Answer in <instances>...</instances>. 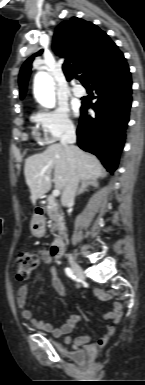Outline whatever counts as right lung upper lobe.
<instances>
[{"mask_svg":"<svg viewBox=\"0 0 145 385\" xmlns=\"http://www.w3.org/2000/svg\"><path fill=\"white\" fill-rule=\"evenodd\" d=\"M52 51L63 62L67 80L79 78L85 87L104 78L126 64L123 53L99 27L81 18L72 17L55 30ZM28 58L19 74L20 97L24 98L35 56Z\"/></svg>","mask_w":145,"mask_h":385,"instance_id":"obj_1","label":"right lung upper lobe"}]
</instances>
